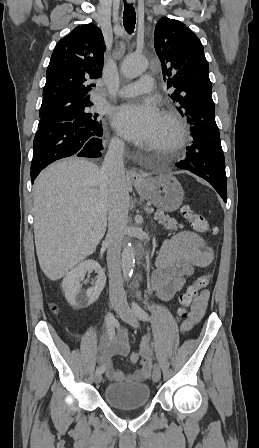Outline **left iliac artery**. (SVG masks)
<instances>
[{
	"label": "left iliac artery",
	"instance_id": "left-iliac-artery-1",
	"mask_svg": "<svg viewBox=\"0 0 259 448\" xmlns=\"http://www.w3.org/2000/svg\"><path fill=\"white\" fill-rule=\"evenodd\" d=\"M132 310L135 313V315L142 321H147L150 320L149 315L147 314V312L141 308L138 303H136L135 301L132 302Z\"/></svg>",
	"mask_w": 259,
	"mask_h": 448
}]
</instances>
